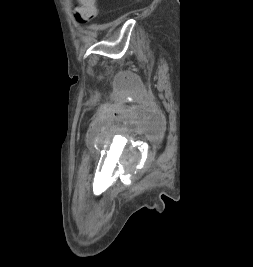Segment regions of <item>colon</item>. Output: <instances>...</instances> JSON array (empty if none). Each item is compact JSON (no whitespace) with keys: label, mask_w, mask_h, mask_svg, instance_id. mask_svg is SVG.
<instances>
[{"label":"colon","mask_w":253,"mask_h":267,"mask_svg":"<svg viewBox=\"0 0 253 267\" xmlns=\"http://www.w3.org/2000/svg\"><path fill=\"white\" fill-rule=\"evenodd\" d=\"M78 2L79 6L74 9L73 13L80 22L87 23L96 17V0H78Z\"/></svg>","instance_id":"5ec220e1"}]
</instances>
